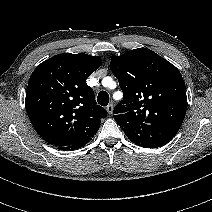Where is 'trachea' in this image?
I'll return each instance as SVG.
<instances>
[{
    "mask_svg": "<svg viewBox=\"0 0 212 212\" xmlns=\"http://www.w3.org/2000/svg\"><path fill=\"white\" fill-rule=\"evenodd\" d=\"M97 101L101 106H107L109 103V95L106 91H101L97 96Z\"/></svg>",
    "mask_w": 212,
    "mask_h": 212,
    "instance_id": "1",
    "label": "trachea"
}]
</instances>
